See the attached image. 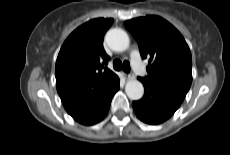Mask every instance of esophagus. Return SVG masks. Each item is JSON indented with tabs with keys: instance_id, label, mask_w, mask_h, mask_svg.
<instances>
[{
	"instance_id": "obj_1",
	"label": "esophagus",
	"mask_w": 230,
	"mask_h": 155,
	"mask_svg": "<svg viewBox=\"0 0 230 155\" xmlns=\"http://www.w3.org/2000/svg\"><path fill=\"white\" fill-rule=\"evenodd\" d=\"M126 79H133L135 76L132 73H123Z\"/></svg>"
}]
</instances>
